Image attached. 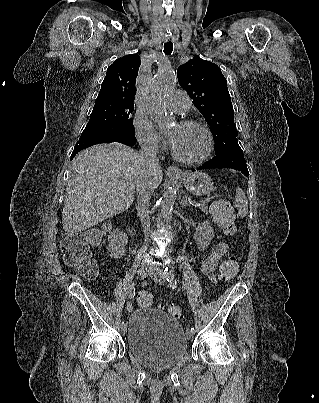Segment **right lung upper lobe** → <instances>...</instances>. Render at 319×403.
<instances>
[{
	"label": "right lung upper lobe",
	"instance_id": "cb5924a9",
	"mask_svg": "<svg viewBox=\"0 0 319 403\" xmlns=\"http://www.w3.org/2000/svg\"><path fill=\"white\" fill-rule=\"evenodd\" d=\"M141 61L137 54L117 59L107 69L96 102L133 104Z\"/></svg>",
	"mask_w": 319,
	"mask_h": 403
}]
</instances>
